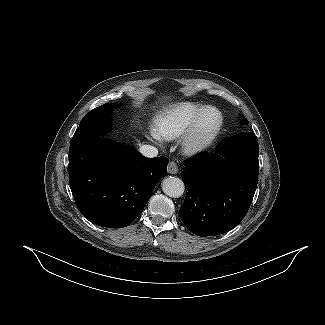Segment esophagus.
<instances>
[{"label": "esophagus", "mask_w": 325, "mask_h": 325, "mask_svg": "<svg viewBox=\"0 0 325 325\" xmlns=\"http://www.w3.org/2000/svg\"><path fill=\"white\" fill-rule=\"evenodd\" d=\"M168 173L170 174H177L178 173V166L175 162L170 161L168 164Z\"/></svg>", "instance_id": "esophagus-1"}]
</instances>
